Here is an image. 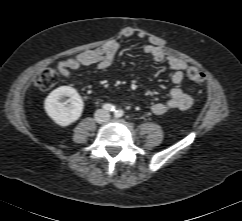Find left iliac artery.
Returning a JSON list of instances; mask_svg holds the SVG:
<instances>
[{"label": "left iliac artery", "instance_id": "obj_1", "mask_svg": "<svg viewBox=\"0 0 242 221\" xmlns=\"http://www.w3.org/2000/svg\"><path fill=\"white\" fill-rule=\"evenodd\" d=\"M114 115H115L116 118H119V117L123 116V111L122 110H116Z\"/></svg>", "mask_w": 242, "mask_h": 221}]
</instances>
